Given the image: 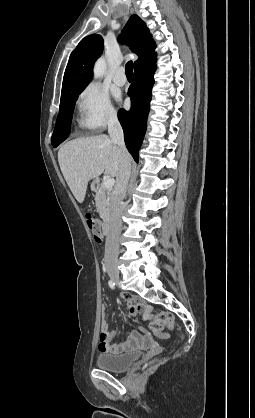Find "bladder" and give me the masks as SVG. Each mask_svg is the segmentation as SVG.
<instances>
[{
  "label": "bladder",
  "instance_id": "bladder-1",
  "mask_svg": "<svg viewBox=\"0 0 255 418\" xmlns=\"http://www.w3.org/2000/svg\"><path fill=\"white\" fill-rule=\"evenodd\" d=\"M140 356V351L122 354H100L96 358V364L100 369L106 371L122 372L128 369Z\"/></svg>",
  "mask_w": 255,
  "mask_h": 418
}]
</instances>
